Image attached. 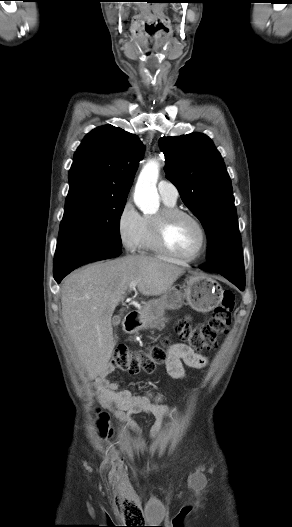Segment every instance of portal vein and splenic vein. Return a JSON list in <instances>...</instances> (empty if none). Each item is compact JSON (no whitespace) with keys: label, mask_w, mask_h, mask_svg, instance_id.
Masks as SVG:
<instances>
[{"label":"portal vein and splenic vein","mask_w":292,"mask_h":527,"mask_svg":"<svg viewBox=\"0 0 292 527\" xmlns=\"http://www.w3.org/2000/svg\"><path fill=\"white\" fill-rule=\"evenodd\" d=\"M136 285H137L136 281L131 282L130 285H129V289L130 290L135 289Z\"/></svg>","instance_id":"18ae733b"}]
</instances>
